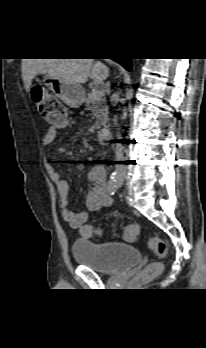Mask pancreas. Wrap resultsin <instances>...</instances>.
Here are the masks:
<instances>
[{
  "instance_id": "1",
  "label": "pancreas",
  "mask_w": 206,
  "mask_h": 348,
  "mask_svg": "<svg viewBox=\"0 0 206 348\" xmlns=\"http://www.w3.org/2000/svg\"><path fill=\"white\" fill-rule=\"evenodd\" d=\"M85 104L87 110L92 112L95 124L93 129H100L101 126H106L108 121V107L103 98L95 100L92 96V92L87 93L85 98Z\"/></svg>"
}]
</instances>
